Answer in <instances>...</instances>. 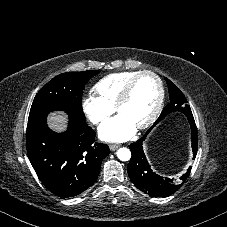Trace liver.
<instances>
[{
    "label": "liver",
    "mask_w": 227,
    "mask_h": 227,
    "mask_svg": "<svg viewBox=\"0 0 227 227\" xmlns=\"http://www.w3.org/2000/svg\"><path fill=\"white\" fill-rule=\"evenodd\" d=\"M66 114L63 112H53L49 116L50 127L56 129V131H64L66 128Z\"/></svg>",
    "instance_id": "liver-1"
}]
</instances>
